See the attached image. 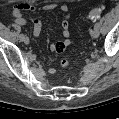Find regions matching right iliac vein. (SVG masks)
<instances>
[{
  "mask_svg": "<svg viewBox=\"0 0 119 119\" xmlns=\"http://www.w3.org/2000/svg\"><path fill=\"white\" fill-rule=\"evenodd\" d=\"M25 44H29V38L24 36L23 40H22Z\"/></svg>",
  "mask_w": 119,
  "mask_h": 119,
  "instance_id": "obj_1",
  "label": "right iliac vein"
}]
</instances>
